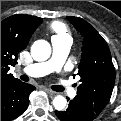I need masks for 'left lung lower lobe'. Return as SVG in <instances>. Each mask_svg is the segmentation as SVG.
Wrapping results in <instances>:
<instances>
[{"instance_id": "left-lung-lower-lobe-1", "label": "left lung lower lobe", "mask_w": 121, "mask_h": 121, "mask_svg": "<svg viewBox=\"0 0 121 121\" xmlns=\"http://www.w3.org/2000/svg\"><path fill=\"white\" fill-rule=\"evenodd\" d=\"M61 121H92L99 113L93 112L71 100L66 111H55Z\"/></svg>"}]
</instances>
